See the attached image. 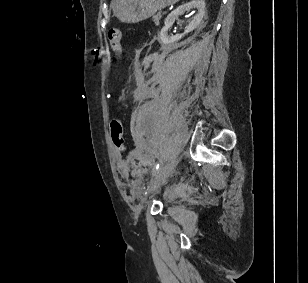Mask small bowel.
<instances>
[{"mask_svg":"<svg viewBox=\"0 0 308 283\" xmlns=\"http://www.w3.org/2000/svg\"><path fill=\"white\" fill-rule=\"evenodd\" d=\"M142 97H143V96L141 95V93H139V92H137V91L134 93V98H135L136 101L141 100ZM118 170H119L121 173H123L124 175H126V176L129 175V169H128L126 163L123 162V161H120V162L118 163Z\"/></svg>","mask_w":308,"mask_h":283,"instance_id":"obj_1","label":"small bowel"}]
</instances>
